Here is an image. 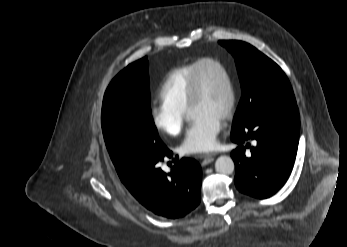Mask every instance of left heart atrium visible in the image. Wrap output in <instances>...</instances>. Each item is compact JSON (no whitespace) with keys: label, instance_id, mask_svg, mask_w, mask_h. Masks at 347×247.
Returning a JSON list of instances; mask_svg holds the SVG:
<instances>
[{"label":"left heart atrium","instance_id":"obj_1","mask_svg":"<svg viewBox=\"0 0 347 247\" xmlns=\"http://www.w3.org/2000/svg\"><path fill=\"white\" fill-rule=\"evenodd\" d=\"M222 129V118L211 115L196 117L188 127L180 145L181 153L193 155L212 150Z\"/></svg>","mask_w":347,"mask_h":247}]
</instances>
